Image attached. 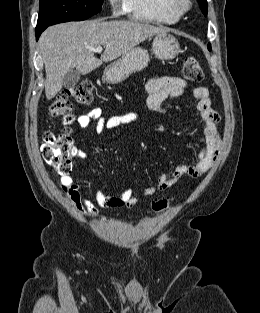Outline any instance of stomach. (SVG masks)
I'll return each mask as SVG.
<instances>
[{"instance_id":"obj_1","label":"stomach","mask_w":260,"mask_h":313,"mask_svg":"<svg viewBox=\"0 0 260 313\" xmlns=\"http://www.w3.org/2000/svg\"><path fill=\"white\" fill-rule=\"evenodd\" d=\"M152 51L157 58L170 60L180 53V45L172 34L159 33L153 39ZM148 62V52L141 47H134L122 58L110 63L105 68L103 79L109 84L120 83L132 73L143 70Z\"/></svg>"}]
</instances>
